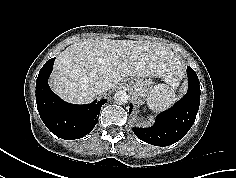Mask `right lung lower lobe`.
Segmentation results:
<instances>
[{
  "instance_id": "1",
  "label": "right lung lower lobe",
  "mask_w": 236,
  "mask_h": 178,
  "mask_svg": "<svg viewBox=\"0 0 236 178\" xmlns=\"http://www.w3.org/2000/svg\"><path fill=\"white\" fill-rule=\"evenodd\" d=\"M54 60L49 59L39 72L36 81L37 108L42 121L53 134L62 139H78L95 127L101 107L107 100L89 105H73L61 100L51 91L47 81Z\"/></svg>"
}]
</instances>
